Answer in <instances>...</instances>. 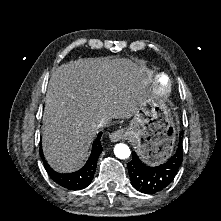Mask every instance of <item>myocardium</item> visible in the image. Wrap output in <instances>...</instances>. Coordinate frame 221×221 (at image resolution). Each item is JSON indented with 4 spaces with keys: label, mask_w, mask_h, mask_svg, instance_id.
I'll return each mask as SVG.
<instances>
[{
    "label": "myocardium",
    "mask_w": 221,
    "mask_h": 221,
    "mask_svg": "<svg viewBox=\"0 0 221 221\" xmlns=\"http://www.w3.org/2000/svg\"><path fill=\"white\" fill-rule=\"evenodd\" d=\"M162 77H166L167 83L165 86L159 85V81L161 80ZM156 83H157V89H156L157 96L162 99L166 98L171 92V82L169 76L164 73L161 74L160 76L157 77Z\"/></svg>",
    "instance_id": "obj_1"
}]
</instances>
